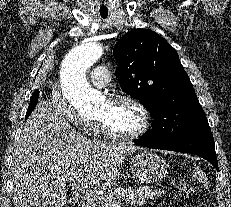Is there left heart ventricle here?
Returning <instances> with one entry per match:
<instances>
[{"instance_id": "obj_1", "label": "left heart ventricle", "mask_w": 231, "mask_h": 207, "mask_svg": "<svg viewBox=\"0 0 231 207\" xmlns=\"http://www.w3.org/2000/svg\"><path fill=\"white\" fill-rule=\"evenodd\" d=\"M97 118L117 133L130 134L141 126L142 118L136 108L127 103L105 101L99 108Z\"/></svg>"}]
</instances>
